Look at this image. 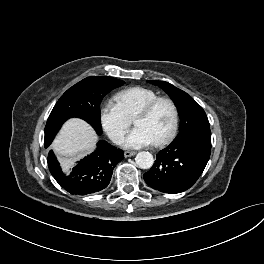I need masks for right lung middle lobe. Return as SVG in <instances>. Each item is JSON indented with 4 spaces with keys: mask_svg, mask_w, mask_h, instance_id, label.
<instances>
[{
    "mask_svg": "<svg viewBox=\"0 0 264 264\" xmlns=\"http://www.w3.org/2000/svg\"><path fill=\"white\" fill-rule=\"evenodd\" d=\"M124 84V81L111 77H87L68 89L55 104L45 127V147L49 146L61 128L71 117H78L102 133L100 124V103L112 89Z\"/></svg>",
    "mask_w": 264,
    "mask_h": 264,
    "instance_id": "right-lung-middle-lobe-1",
    "label": "right lung middle lobe"
}]
</instances>
